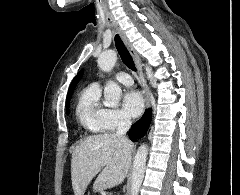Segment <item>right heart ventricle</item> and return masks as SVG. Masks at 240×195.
I'll list each match as a JSON object with an SVG mask.
<instances>
[{"label": "right heart ventricle", "mask_w": 240, "mask_h": 195, "mask_svg": "<svg viewBox=\"0 0 240 195\" xmlns=\"http://www.w3.org/2000/svg\"><path fill=\"white\" fill-rule=\"evenodd\" d=\"M100 96L98 84L88 86L79 98L76 115L80 126L89 134L103 137L104 132L110 131V128L106 120L107 109Z\"/></svg>", "instance_id": "1"}]
</instances>
